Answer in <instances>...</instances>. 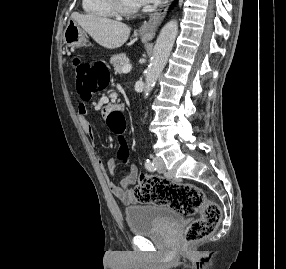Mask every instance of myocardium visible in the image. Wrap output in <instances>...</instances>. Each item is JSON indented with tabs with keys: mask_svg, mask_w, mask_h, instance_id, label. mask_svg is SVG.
<instances>
[{
	"mask_svg": "<svg viewBox=\"0 0 286 269\" xmlns=\"http://www.w3.org/2000/svg\"><path fill=\"white\" fill-rule=\"evenodd\" d=\"M116 15L132 16L139 12L140 6L129 7L123 0H107Z\"/></svg>",
	"mask_w": 286,
	"mask_h": 269,
	"instance_id": "obj_1",
	"label": "myocardium"
}]
</instances>
